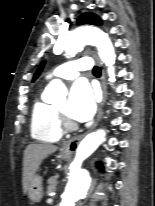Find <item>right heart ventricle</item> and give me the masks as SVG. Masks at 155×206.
<instances>
[{"instance_id":"right-heart-ventricle-1","label":"right heart ventricle","mask_w":155,"mask_h":206,"mask_svg":"<svg viewBox=\"0 0 155 206\" xmlns=\"http://www.w3.org/2000/svg\"><path fill=\"white\" fill-rule=\"evenodd\" d=\"M30 128L33 138L46 143L56 142L62 135L55 107L41 97L34 101Z\"/></svg>"}]
</instances>
